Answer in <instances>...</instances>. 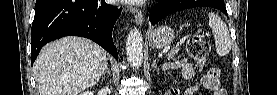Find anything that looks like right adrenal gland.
<instances>
[{
  "label": "right adrenal gland",
  "instance_id": "right-adrenal-gland-1",
  "mask_svg": "<svg viewBox=\"0 0 277 95\" xmlns=\"http://www.w3.org/2000/svg\"><path fill=\"white\" fill-rule=\"evenodd\" d=\"M105 74L110 75L109 67L107 65L105 72L102 75V78H104Z\"/></svg>",
  "mask_w": 277,
  "mask_h": 95
}]
</instances>
